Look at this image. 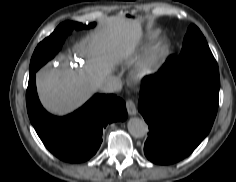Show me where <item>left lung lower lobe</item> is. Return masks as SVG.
Returning <instances> with one entry per match:
<instances>
[{
  "instance_id": "obj_1",
  "label": "left lung lower lobe",
  "mask_w": 236,
  "mask_h": 182,
  "mask_svg": "<svg viewBox=\"0 0 236 182\" xmlns=\"http://www.w3.org/2000/svg\"><path fill=\"white\" fill-rule=\"evenodd\" d=\"M165 72L140 93L138 110L149 125L144 154L156 164L187 157L208 135L218 109L219 88L166 84Z\"/></svg>"
}]
</instances>
